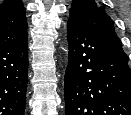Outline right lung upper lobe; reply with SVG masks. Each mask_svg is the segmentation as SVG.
<instances>
[{
    "label": "right lung upper lobe",
    "instance_id": "obj_1",
    "mask_svg": "<svg viewBox=\"0 0 131 115\" xmlns=\"http://www.w3.org/2000/svg\"><path fill=\"white\" fill-rule=\"evenodd\" d=\"M26 35L27 22L22 1H4L0 5V48L18 43Z\"/></svg>",
    "mask_w": 131,
    "mask_h": 115
}]
</instances>
